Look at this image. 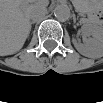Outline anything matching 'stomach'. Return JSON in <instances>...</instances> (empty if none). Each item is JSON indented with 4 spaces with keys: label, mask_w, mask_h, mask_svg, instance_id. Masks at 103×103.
Returning a JSON list of instances; mask_svg holds the SVG:
<instances>
[{
    "label": "stomach",
    "mask_w": 103,
    "mask_h": 103,
    "mask_svg": "<svg viewBox=\"0 0 103 103\" xmlns=\"http://www.w3.org/2000/svg\"><path fill=\"white\" fill-rule=\"evenodd\" d=\"M89 5H90L89 3L82 2V3L77 4L76 7L78 10L83 11L85 10V7Z\"/></svg>",
    "instance_id": "1"
}]
</instances>
